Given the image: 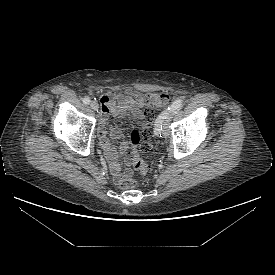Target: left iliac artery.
Returning <instances> with one entry per match:
<instances>
[{
    "instance_id": "obj_1",
    "label": "left iliac artery",
    "mask_w": 275,
    "mask_h": 275,
    "mask_svg": "<svg viewBox=\"0 0 275 275\" xmlns=\"http://www.w3.org/2000/svg\"><path fill=\"white\" fill-rule=\"evenodd\" d=\"M183 106V101L181 99H177L175 100L168 108L166 111H164L163 113H161L156 121H155V126H154V133L157 136L161 137V131H162V124L163 121L165 119V113L169 112V113H175L176 111H178L181 107Z\"/></svg>"
}]
</instances>
